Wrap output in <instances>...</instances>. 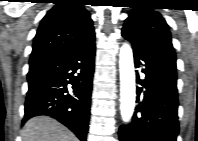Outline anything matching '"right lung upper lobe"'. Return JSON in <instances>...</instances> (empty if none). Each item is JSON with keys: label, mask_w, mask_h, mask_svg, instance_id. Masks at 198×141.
<instances>
[{"label": "right lung upper lobe", "mask_w": 198, "mask_h": 141, "mask_svg": "<svg viewBox=\"0 0 198 141\" xmlns=\"http://www.w3.org/2000/svg\"><path fill=\"white\" fill-rule=\"evenodd\" d=\"M48 11L34 38L30 63L68 49L94 32L80 0H59Z\"/></svg>", "instance_id": "cb5924a9"}]
</instances>
